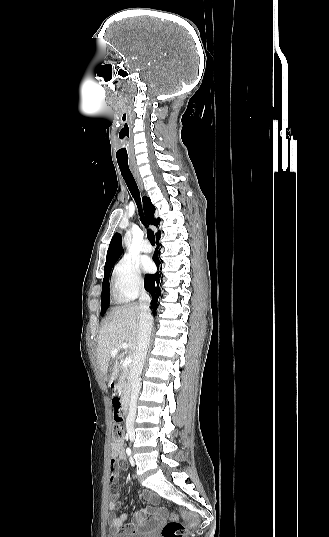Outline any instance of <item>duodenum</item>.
Masks as SVG:
<instances>
[{"instance_id":"1","label":"duodenum","mask_w":329,"mask_h":537,"mask_svg":"<svg viewBox=\"0 0 329 537\" xmlns=\"http://www.w3.org/2000/svg\"><path fill=\"white\" fill-rule=\"evenodd\" d=\"M110 388L112 390L116 389V382L115 381L110 382ZM117 404L119 405L120 412L122 413V416H125L127 414V411H128V403L126 401H121V400L117 399Z\"/></svg>"}]
</instances>
